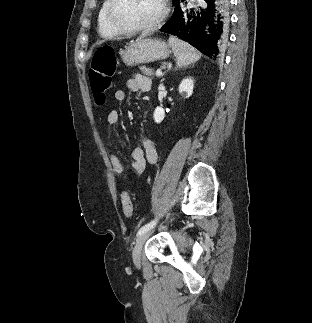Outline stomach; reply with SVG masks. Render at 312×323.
Masks as SVG:
<instances>
[{
  "label": "stomach",
  "instance_id": "obj_1",
  "mask_svg": "<svg viewBox=\"0 0 312 323\" xmlns=\"http://www.w3.org/2000/svg\"><path fill=\"white\" fill-rule=\"evenodd\" d=\"M125 66H137V64H149L156 60H165L170 54L169 46L162 40H151L140 36L136 42L126 46L119 52Z\"/></svg>",
  "mask_w": 312,
  "mask_h": 323
}]
</instances>
